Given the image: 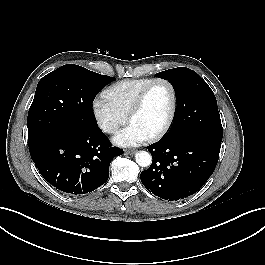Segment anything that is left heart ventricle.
<instances>
[{"label": "left heart ventricle", "instance_id": "b2bd125f", "mask_svg": "<svg viewBox=\"0 0 265 265\" xmlns=\"http://www.w3.org/2000/svg\"><path fill=\"white\" fill-rule=\"evenodd\" d=\"M171 108V94L165 84L154 85L149 91L140 111L130 123L151 135L165 124Z\"/></svg>", "mask_w": 265, "mask_h": 265}]
</instances>
